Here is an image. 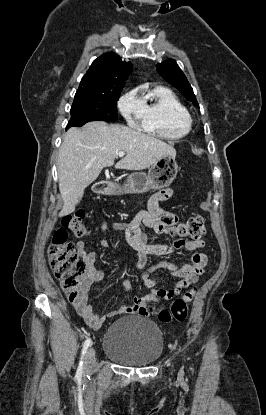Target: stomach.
Wrapping results in <instances>:
<instances>
[{"instance_id": "obj_1", "label": "stomach", "mask_w": 266, "mask_h": 415, "mask_svg": "<svg viewBox=\"0 0 266 415\" xmlns=\"http://www.w3.org/2000/svg\"><path fill=\"white\" fill-rule=\"evenodd\" d=\"M178 172V165L175 157L169 155L158 159L151 165L148 174L134 173L132 174L126 184V191L130 193H145L151 189H162L168 187L176 178ZM128 185L130 188H128ZM104 193L106 195H116V187L108 186Z\"/></svg>"}]
</instances>
